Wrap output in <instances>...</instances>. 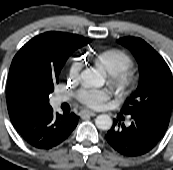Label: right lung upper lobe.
Masks as SVG:
<instances>
[{"instance_id":"right-lung-upper-lobe-1","label":"right lung upper lobe","mask_w":173,"mask_h":170,"mask_svg":"<svg viewBox=\"0 0 173 170\" xmlns=\"http://www.w3.org/2000/svg\"><path fill=\"white\" fill-rule=\"evenodd\" d=\"M79 35L46 32L27 42L11 63L7 82L8 113L33 106H50L46 93L74 50L87 45Z\"/></svg>"}]
</instances>
